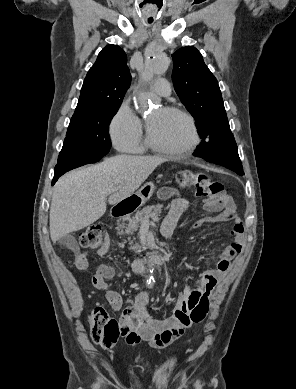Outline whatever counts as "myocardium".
Masks as SVG:
<instances>
[{
  "mask_svg": "<svg viewBox=\"0 0 296 389\" xmlns=\"http://www.w3.org/2000/svg\"><path fill=\"white\" fill-rule=\"evenodd\" d=\"M165 111L178 114L186 119V121L189 124L190 130H191V139L190 141L182 148L173 149V148H167L164 146H161L157 144L150 133L149 128L147 127V144L148 146L161 154H165L171 157H186L190 155L199 145L200 143V133L197 126V123L195 121V118L186 110L176 107V106H165L163 108Z\"/></svg>",
  "mask_w": 296,
  "mask_h": 389,
  "instance_id": "obj_1",
  "label": "myocardium"
}]
</instances>
